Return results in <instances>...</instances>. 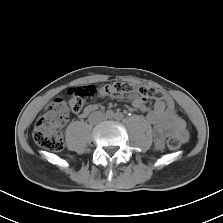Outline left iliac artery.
Listing matches in <instances>:
<instances>
[{
    "instance_id": "1",
    "label": "left iliac artery",
    "mask_w": 223,
    "mask_h": 223,
    "mask_svg": "<svg viewBox=\"0 0 223 223\" xmlns=\"http://www.w3.org/2000/svg\"><path fill=\"white\" fill-rule=\"evenodd\" d=\"M114 118L116 120H121L123 118V114L120 112L115 113Z\"/></svg>"
}]
</instances>
